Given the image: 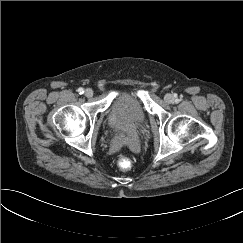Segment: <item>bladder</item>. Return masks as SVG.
<instances>
[{"label":"bladder","instance_id":"31cf9c89","mask_svg":"<svg viewBox=\"0 0 243 243\" xmlns=\"http://www.w3.org/2000/svg\"><path fill=\"white\" fill-rule=\"evenodd\" d=\"M145 119V113L140 103L129 94L118 96L113 101L108 114L111 127L124 131L140 128Z\"/></svg>","mask_w":243,"mask_h":243}]
</instances>
